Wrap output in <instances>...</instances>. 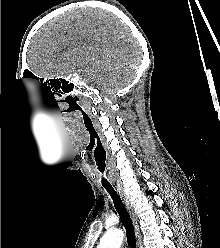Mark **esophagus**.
<instances>
[{
	"instance_id": "34e87169",
	"label": "esophagus",
	"mask_w": 220,
	"mask_h": 248,
	"mask_svg": "<svg viewBox=\"0 0 220 248\" xmlns=\"http://www.w3.org/2000/svg\"><path fill=\"white\" fill-rule=\"evenodd\" d=\"M117 190L118 193L120 195V197L122 198L123 202L125 203V206L131 216L134 228H135V233H136V237H137V248H143L142 247V242H141V234H140V230H139V224H138V219L137 216L135 214V211L133 209V206L129 200V198L127 197V195L125 194L123 188L120 185H117Z\"/></svg>"
}]
</instances>
